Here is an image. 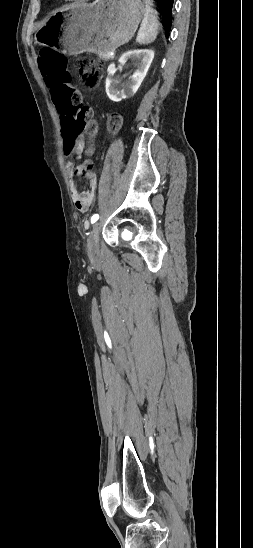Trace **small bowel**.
I'll use <instances>...</instances> for the list:
<instances>
[{"label": "small bowel", "instance_id": "c3829d8e", "mask_svg": "<svg viewBox=\"0 0 253 548\" xmlns=\"http://www.w3.org/2000/svg\"><path fill=\"white\" fill-rule=\"evenodd\" d=\"M44 77V74H42ZM71 80V76H70ZM48 86V83H46ZM85 148V141L84 137H76L73 139L72 145L66 144V157L68 159L67 162V170L71 177L70 181V192L73 199V202L76 206V208L80 211H87L90 206L92 205L96 190H97V180L95 175H92L90 177H87L90 182V188L88 191H80L78 188L77 183L73 180V177L76 175H81L77 168L74 166L73 160L78 159Z\"/></svg>", "mask_w": 253, "mask_h": 548}]
</instances>
